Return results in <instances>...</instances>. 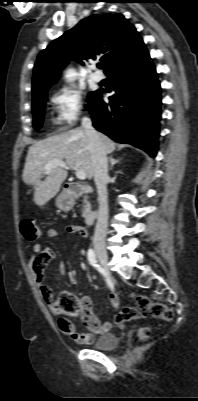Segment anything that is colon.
Listing matches in <instances>:
<instances>
[{
	"label": "colon",
	"instance_id": "5ec220e1",
	"mask_svg": "<svg viewBox=\"0 0 198 401\" xmlns=\"http://www.w3.org/2000/svg\"><path fill=\"white\" fill-rule=\"evenodd\" d=\"M20 231L23 237L29 241H35L40 237V229L34 219L25 217L20 220ZM137 307L129 306L123 308L115 316V323L122 325L133 319L139 318L141 312H147L151 316L163 320H170L173 317L172 310L165 304L151 300L145 295H135ZM52 312L57 315H73L81 312V305L77 299L69 292H61L57 299L52 303ZM150 331L143 328L140 331V339H149Z\"/></svg>",
	"mask_w": 198,
	"mask_h": 401
}]
</instances>
